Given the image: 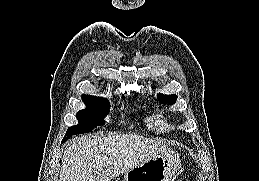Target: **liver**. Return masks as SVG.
Returning <instances> with one entry per match:
<instances>
[{"label": "liver", "instance_id": "liver-1", "mask_svg": "<svg viewBox=\"0 0 259 181\" xmlns=\"http://www.w3.org/2000/svg\"><path fill=\"white\" fill-rule=\"evenodd\" d=\"M165 149L131 134L74 138L62 157L59 181H111Z\"/></svg>", "mask_w": 259, "mask_h": 181}]
</instances>
